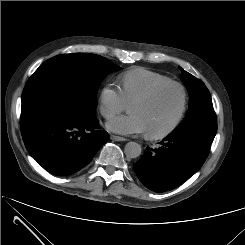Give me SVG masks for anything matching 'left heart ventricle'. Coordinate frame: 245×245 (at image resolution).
I'll use <instances>...</instances> for the list:
<instances>
[{"instance_id": "obj_1", "label": "left heart ventricle", "mask_w": 245, "mask_h": 245, "mask_svg": "<svg viewBox=\"0 0 245 245\" xmlns=\"http://www.w3.org/2000/svg\"><path fill=\"white\" fill-rule=\"evenodd\" d=\"M181 101L180 91L177 88L169 87L159 92L148 102L130 104L128 111L141 118L147 132H159L174 121Z\"/></svg>"}]
</instances>
